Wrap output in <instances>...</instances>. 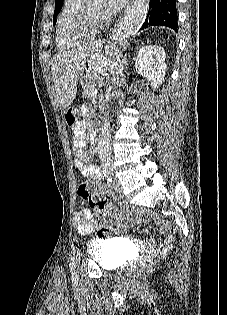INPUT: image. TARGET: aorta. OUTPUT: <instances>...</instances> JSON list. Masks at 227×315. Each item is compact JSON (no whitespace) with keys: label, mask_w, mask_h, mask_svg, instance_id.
Wrapping results in <instances>:
<instances>
[{"label":"aorta","mask_w":227,"mask_h":315,"mask_svg":"<svg viewBox=\"0 0 227 315\" xmlns=\"http://www.w3.org/2000/svg\"><path fill=\"white\" fill-rule=\"evenodd\" d=\"M134 29L132 24L128 22H124L120 25L117 30L116 38L119 42L127 39L132 33ZM110 130L111 125L108 119H105L104 123L101 127V132L99 135V154L100 159L105 161L106 163L112 162L111 160V145H110Z\"/></svg>","instance_id":"aorta-1"}]
</instances>
